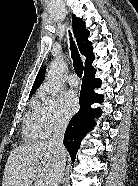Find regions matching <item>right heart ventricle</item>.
<instances>
[{
  "label": "right heart ventricle",
  "mask_w": 138,
  "mask_h": 186,
  "mask_svg": "<svg viewBox=\"0 0 138 186\" xmlns=\"http://www.w3.org/2000/svg\"><path fill=\"white\" fill-rule=\"evenodd\" d=\"M42 108L38 98H33L23 124V134L28 140H42L48 136L41 120Z\"/></svg>",
  "instance_id": "e07e8e85"
}]
</instances>
